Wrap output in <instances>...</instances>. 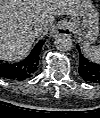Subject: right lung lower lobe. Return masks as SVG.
Returning a JSON list of instances; mask_svg holds the SVG:
<instances>
[{"label":"right lung lower lobe","mask_w":100,"mask_h":118,"mask_svg":"<svg viewBox=\"0 0 100 118\" xmlns=\"http://www.w3.org/2000/svg\"><path fill=\"white\" fill-rule=\"evenodd\" d=\"M44 41L40 40L31 53L22 61L17 63H1L0 75L6 79L22 81L32 77L39 64V56Z\"/></svg>","instance_id":"obj_1"}]
</instances>
